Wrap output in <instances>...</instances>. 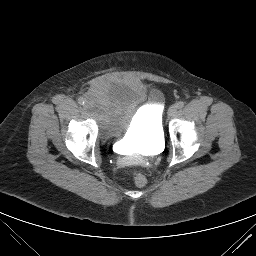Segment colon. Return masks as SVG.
Listing matches in <instances>:
<instances>
[{
	"instance_id": "obj_1",
	"label": "colon",
	"mask_w": 256,
	"mask_h": 256,
	"mask_svg": "<svg viewBox=\"0 0 256 256\" xmlns=\"http://www.w3.org/2000/svg\"><path fill=\"white\" fill-rule=\"evenodd\" d=\"M133 181L138 187H143L147 183V178L143 173L136 171L133 173Z\"/></svg>"
}]
</instances>
